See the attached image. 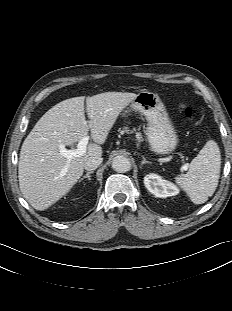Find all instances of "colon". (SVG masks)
I'll return each instance as SVG.
<instances>
[{"label": "colon", "mask_w": 232, "mask_h": 311, "mask_svg": "<svg viewBox=\"0 0 232 311\" xmlns=\"http://www.w3.org/2000/svg\"><path fill=\"white\" fill-rule=\"evenodd\" d=\"M182 111L187 118H192L194 116V110L191 107H183Z\"/></svg>", "instance_id": "colon-1"}]
</instances>
